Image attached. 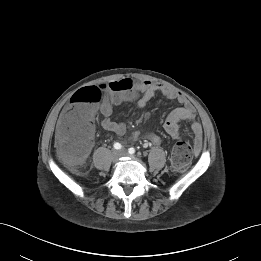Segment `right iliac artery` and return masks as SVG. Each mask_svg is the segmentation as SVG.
I'll use <instances>...</instances> for the list:
<instances>
[{"label": "right iliac artery", "instance_id": "right-iliac-artery-1", "mask_svg": "<svg viewBox=\"0 0 261 261\" xmlns=\"http://www.w3.org/2000/svg\"><path fill=\"white\" fill-rule=\"evenodd\" d=\"M114 148L119 150L122 148V145L120 143H114Z\"/></svg>", "mask_w": 261, "mask_h": 261}]
</instances>
